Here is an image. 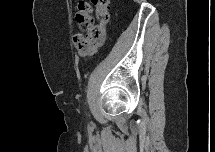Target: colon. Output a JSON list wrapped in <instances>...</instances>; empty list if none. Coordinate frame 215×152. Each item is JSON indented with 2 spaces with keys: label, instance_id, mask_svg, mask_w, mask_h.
Segmentation results:
<instances>
[{
  "label": "colon",
  "instance_id": "obj_1",
  "mask_svg": "<svg viewBox=\"0 0 215 152\" xmlns=\"http://www.w3.org/2000/svg\"><path fill=\"white\" fill-rule=\"evenodd\" d=\"M96 13L97 23L93 22L92 12ZM80 28L86 29V35H76L75 46L81 55H90L101 48L106 40V27L110 21L108 0L80 1L76 13Z\"/></svg>",
  "mask_w": 215,
  "mask_h": 152
}]
</instances>
